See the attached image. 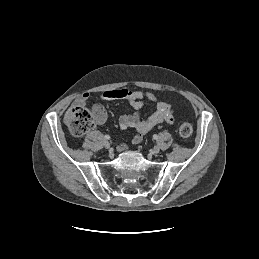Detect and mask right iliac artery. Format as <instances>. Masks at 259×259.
Listing matches in <instances>:
<instances>
[{
  "mask_svg": "<svg viewBox=\"0 0 259 259\" xmlns=\"http://www.w3.org/2000/svg\"><path fill=\"white\" fill-rule=\"evenodd\" d=\"M104 138H105L106 140H109V139H110V136H109V135H105Z\"/></svg>",
  "mask_w": 259,
  "mask_h": 259,
  "instance_id": "obj_1",
  "label": "right iliac artery"
}]
</instances>
